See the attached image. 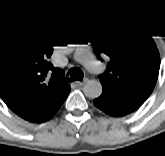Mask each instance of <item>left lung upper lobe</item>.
Here are the masks:
<instances>
[{"mask_svg":"<svg viewBox=\"0 0 165 156\" xmlns=\"http://www.w3.org/2000/svg\"><path fill=\"white\" fill-rule=\"evenodd\" d=\"M89 41L100 59L109 60L106 72L99 76L102 86L140 107L152 93L160 68L152 37L130 24L101 21L93 26Z\"/></svg>","mask_w":165,"mask_h":156,"instance_id":"obj_1","label":"left lung upper lobe"}]
</instances>
